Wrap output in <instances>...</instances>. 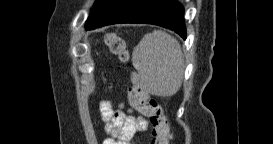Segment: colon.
<instances>
[{
    "mask_svg": "<svg viewBox=\"0 0 273 144\" xmlns=\"http://www.w3.org/2000/svg\"><path fill=\"white\" fill-rule=\"evenodd\" d=\"M108 44L112 52L119 55L121 59H128V52L121 37L116 34L109 36ZM129 100L139 113L149 119L152 136L151 144H169L171 134L168 119L158 101L137 87L129 89Z\"/></svg>",
    "mask_w": 273,
    "mask_h": 144,
    "instance_id": "colon-1",
    "label": "colon"
}]
</instances>
